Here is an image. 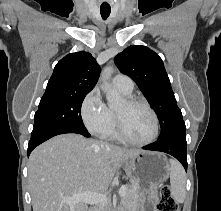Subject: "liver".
Instances as JSON below:
<instances>
[{
	"label": "liver",
	"mask_w": 221,
	"mask_h": 211,
	"mask_svg": "<svg viewBox=\"0 0 221 211\" xmlns=\"http://www.w3.org/2000/svg\"><path fill=\"white\" fill-rule=\"evenodd\" d=\"M140 152L78 134L51 138L35 148L28 161L33 211H89L87 203L69 205L63 198L104 194L121 164Z\"/></svg>",
	"instance_id": "obj_1"
}]
</instances>
